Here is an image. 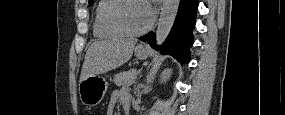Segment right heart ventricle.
<instances>
[{
  "instance_id": "1",
  "label": "right heart ventricle",
  "mask_w": 285,
  "mask_h": 115,
  "mask_svg": "<svg viewBox=\"0 0 285 115\" xmlns=\"http://www.w3.org/2000/svg\"><path fill=\"white\" fill-rule=\"evenodd\" d=\"M115 1L116 0H100L96 5L93 17V34L97 38L117 39L123 36L121 32L110 26L105 20L107 10Z\"/></svg>"
}]
</instances>
